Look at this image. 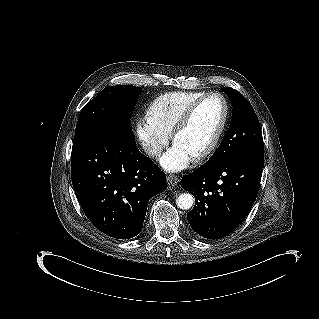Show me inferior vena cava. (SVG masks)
Wrapping results in <instances>:
<instances>
[{
    "instance_id": "602c4592",
    "label": "inferior vena cava",
    "mask_w": 319,
    "mask_h": 319,
    "mask_svg": "<svg viewBox=\"0 0 319 319\" xmlns=\"http://www.w3.org/2000/svg\"><path fill=\"white\" fill-rule=\"evenodd\" d=\"M143 150L150 157L158 156L162 152L161 147L150 143H143Z\"/></svg>"
}]
</instances>
